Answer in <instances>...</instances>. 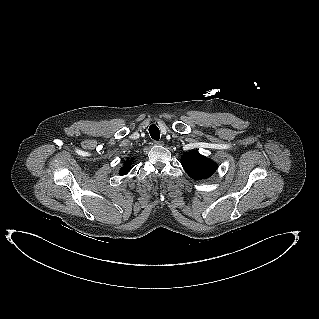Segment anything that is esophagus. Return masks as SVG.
Instances as JSON below:
<instances>
[{"instance_id": "1", "label": "esophagus", "mask_w": 319, "mask_h": 319, "mask_svg": "<svg viewBox=\"0 0 319 319\" xmlns=\"http://www.w3.org/2000/svg\"><path fill=\"white\" fill-rule=\"evenodd\" d=\"M154 145H164V142L163 141H154Z\"/></svg>"}]
</instances>
